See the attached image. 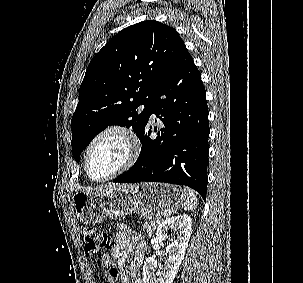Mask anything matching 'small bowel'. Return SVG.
Here are the masks:
<instances>
[{
    "label": "small bowel",
    "mask_w": 303,
    "mask_h": 283,
    "mask_svg": "<svg viewBox=\"0 0 303 283\" xmlns=\"http://www.w3.org/2000/svg\"><path fill=\"white\" fill-rule=\"evenodd\" d=\"M146 249V243L138 232L121 225L110 252L101 256L100 263L105 268H110L115 264L120 270V283H130L129 276L134 278V283H142L140 278H136V274L144 260ZM132 253L134 256L128 267L129 274H127L124 272L126 261Z\"/></svg>",
    "instance_id": "obj_1"
}]
</instances>
